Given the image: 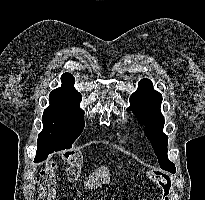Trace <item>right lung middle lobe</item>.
Here are the masks:
<instances>
[{
	"instance_id": "dd1d6c3e",
	"label": "right lung middle lobe",
	"mask_w": 205,
	"mask_h": 200,
	"mask_svg": "<svg viewBox=\"0 0 205 200\" xmlns=\"http://www.w3.org/2000/svg\"><path fill=\"white\" fill-rule=\"evenodd\" d=\"M50 106L43 113V130L38 141H53L59 150L70 148L82 133L85 122L84 112L79 108L82 100L80 93L57 88L49 95Z\"/></svg>"
}]
</instances>
